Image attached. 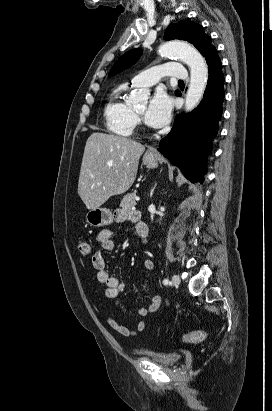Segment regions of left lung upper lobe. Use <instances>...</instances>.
Listing matches in <instances>:
<instances>
[{
    "mask_svg": "<svg viewBox=\"0 0 272 411\" xmlns=\"http://www.w3.org/2000/svg\"><path fill=\"white\" fill-rule=\"evenodd\" d=\"M164 38L166 40H186L192 43L205 58L215 48L211 44V38L204 33L203 27L190 20H183L176 24H170L165 32ZM141 53L140 49L131 50L125 53L113 65L108 75L113 76L129 68L139 59ZM177 93L178 91L175 92L176 95Z\"/></svg>",
    "mask_w": 272,
    "mask_h": 411,
    "instance_id": "5c2ea615",
    "label": "left lung upper lobe"
}]
</instances>
